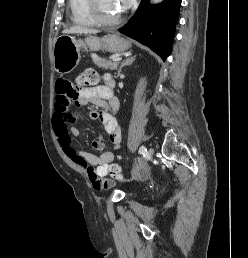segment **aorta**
I'll return each instance as SVG.
<instances>
[{"label":"aorta","instance_id":"762f6f07","mask_svg":"<svg viewBox=\"0 0 248 258\" xmlns=\"http://www.w3.org/2000/svg\"><path fill=\"white\" fill-rule=\"evenodd\" d=\"M162 1H163V0H151V2L154 3V4L160 3V2H162Z\"/></svg>","mask_w":248,"mask_h":258}]
</instances>
